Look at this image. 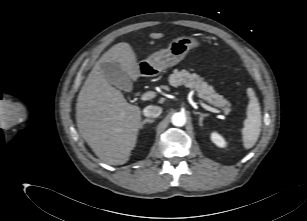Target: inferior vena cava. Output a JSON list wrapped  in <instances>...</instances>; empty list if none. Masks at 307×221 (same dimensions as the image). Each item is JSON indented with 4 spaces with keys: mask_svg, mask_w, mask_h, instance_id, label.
Masks as SVG:
<instances>
[{
    "mask_svg": "<svg viewBox=\"0 0 307 221\" xmlns=\"http://www.w3.org/2000/svg\"><path fill=\"white\" fill-rule=\"evenodd\" d=\"M162 113V108L159 106L149 105L144 108L143 114L146 117L156 118Z\"/></svg>",
    "mask_w": 307,
    "mask_h": 221,
    "instance_id": "1",
    "label": "inferior vena cava"
}]
</instances>
